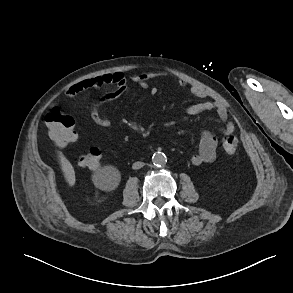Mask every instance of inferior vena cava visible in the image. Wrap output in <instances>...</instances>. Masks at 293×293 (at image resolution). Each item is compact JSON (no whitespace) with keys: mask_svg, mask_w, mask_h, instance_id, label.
I'll use <instances>...</instances> for the list:
<instances>
[{"mask_svg":"<svg viewBox=\"0 0 293 293\" xmlns=\"http://www.w3.org/2000/svg\"><path fill=\"white\" fill-rule=\"evenodd\" d=\"M143 166H144V163L138 161V162L133 163L132 168L133 169H140Z\"/></svg>","mask_w":293,"mask_h":293,"instance_id":"obj_1","label":"inferior vena cava"}]
</instances>
